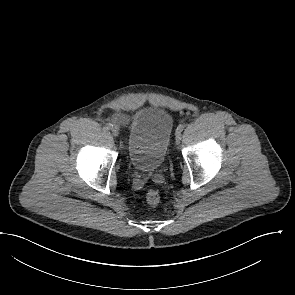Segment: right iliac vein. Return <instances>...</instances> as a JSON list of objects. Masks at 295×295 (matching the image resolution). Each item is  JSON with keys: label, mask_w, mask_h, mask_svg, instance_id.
<instances>
[{"label": "right iliac vein", "mask_w": 295, "mask_h": 295, "mask_svg": "<svg viewBox=\"0 0 295 295\" xmlns=\"http://www.w3.org/2000/svg\"><path fill=\"white\" fill-rule=\"evenodd\" d=\"M112 135L113 136H118L119 134H120V130H119V128L118 127H114V128H112Z\"/></svg>", "instance_id": "obj_1"}]
</instances>
